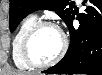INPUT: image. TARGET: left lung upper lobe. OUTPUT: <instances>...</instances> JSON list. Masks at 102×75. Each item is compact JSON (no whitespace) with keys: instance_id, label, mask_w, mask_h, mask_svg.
Instances as JSON below:
<instances>
[{"instance_id":"5c2ea615","label":"left lung upper lobe","mask_w":102,"mask_h":75,"mask_svg":"<svg viewBox=\"0 0 102 75\" xmlns=\"http://www.w3.org/2000/svg\"><path fill=\"white\" fill-rule=\"evenodd\" d=\"M74 2L67 0H10L9 26L13 32L29 13L47 9L55 11L66 23L73 14Z\"/></svg>"}]
</instances>
